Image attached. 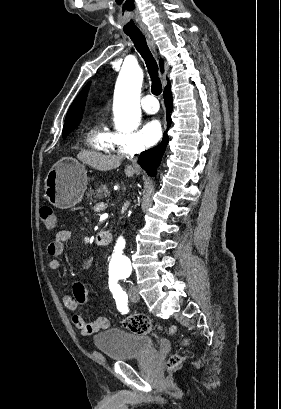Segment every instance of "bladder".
I'll return each instance as SVG.
<instances>
[{
    "instance_id": "31cf9c89",
    "label": "bladder",
    "mask_w": 281,
    "mask_h": 409,
    "mask_svg": "<svg viewBox=\"0 0 281 409\" xmlns=\"http://www.w3.org/2000/svg\"><path fill=\"white\" fill-rule=\"evenodd\" d=\"M97 352L115 362H129L136 355H156L153 339L146 334H135L120 327H108L92 337Z\"/></svg>"
}]
</instances>
